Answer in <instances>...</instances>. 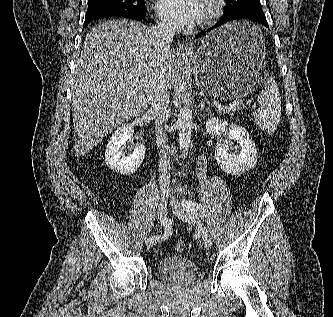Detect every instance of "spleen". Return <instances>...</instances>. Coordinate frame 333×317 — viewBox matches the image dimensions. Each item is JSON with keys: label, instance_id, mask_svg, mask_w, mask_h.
<instances>
[{"label": "spleen", "instance_id": "obj_1", "mask_svg": "<svg viewBox=\"0 0 333 317\" xmlns=\"http://www.w3.org/2000/svg\"><path fill=\"white\" fill-rule=\"evenodd\" d=\"M256 30L260 31L257 26ZM257 101L260 108L254 112L255 122L270 135L277 129L281 117L280 92L274 77L267 79L265 88L258 95Z\"/></svg>", "mask_w": 333, "mask_h": 317}]
</instances>
